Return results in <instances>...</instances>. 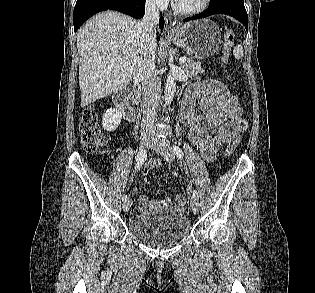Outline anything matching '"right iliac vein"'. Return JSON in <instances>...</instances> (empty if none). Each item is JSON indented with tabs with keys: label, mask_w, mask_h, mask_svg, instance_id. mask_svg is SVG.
I'll return each instance as SVG.
<instances>
[{
	"label": "right iliac vein",
	"mask_w": 315,
	"mask_h": 293,
	"mask_svg": "<svg viewBox=\"0 0 315 293\" xmlns=\"http://www.w3.org/2000/svg\"><path fill=\"white\" fill-rule=\"evenodd\" d=\"M151 142L152 140L150 137L148 136L142 137L140 140V149L141 150L147 149L150 146ZM131 205H132V200L127 199L126 201L123 202L122 208L125 212H127L130 209Z\"/></svg>",
	"instance_id": "63e3f726"
}]
</instances>
